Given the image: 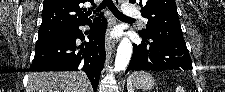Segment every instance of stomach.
<instances>
[{
	"label": "stomach",
	"mask_w": 225,
	"mask_h": 92,
	"mask_svg": "<svg viewBox=\"0 0 225 92\" xmlns=\"http://www.w3.org/2000/svg\"><path fill=\"white\" fill-rule=\"evenodd\" d=\"M132 85L137 89H142L146 91L154 87L155 80L149 73L144 71H139L133 74Z\"/></svg>",
	"instance_id": "obj_1"
}]
</instances>
